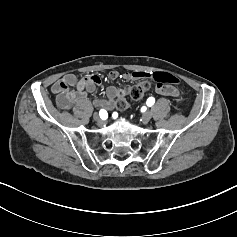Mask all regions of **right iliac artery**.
Instances as JSON below:
<instances>
[{
	"mask_svg": "<svg viewBox=\"0 0 237 237\" xmlns=\"http://www.w3.org/2000/svg\"><path fill=\"white\" fill-rule=\"evenodd\" d=\"M99 116H100L101 119L105 120V119L108 117V113H107L106 110L101 109V110L99 111Z\"/></svg>",
	"mask_w": 237,
	"mask_h": 237,
	"instance_id": "right-iliac-artery-1",
	"label": "right iliac artery"
}]
</instances>
